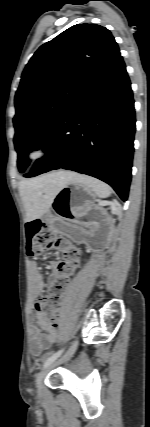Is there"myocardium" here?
Wrapping results in <instances>:
<instances>
[{
  "label": "myocardium",
  "instance_id": "obj_1",
  "mask_svg": "<svg viewBox=\"0 0 150 427\" xmlns=\"http://www.w3.org/2000/svg\"><path fill=\"white\" fill-rule=\"evenodd\" d=\"M52 153V148L46 141L38 140L31 143L25 151V161L29 165H34L43 159L49 157Z\"/></svg>",
  "mask_w": 150,
  "mask_h": 427
}]
</instances>
